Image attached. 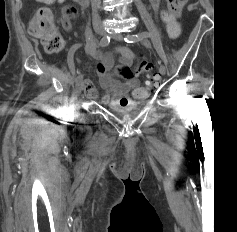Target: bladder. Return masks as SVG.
Masks as SVG:
<instances>
[{
	"label": "bladder",
	"mask_w": 237,
	"mask_h": 232,
	"mask_svg": "<svg viewBox=\"0 0 237 232\" xmlns=\"http://www.w3.org/2000/svg\"><path fill=\"white\" fill-rule=\"evenodd\" d=\"M144 101L140 102V103H126L123 105H118V104H111L109 107L113 110H127V109H133L135 107H137L139 104L143 103Z\"/></svg>",
	"instance_id": "obj_1"
}]
</instances>
